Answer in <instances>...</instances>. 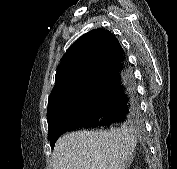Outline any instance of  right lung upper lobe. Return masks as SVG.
I'll use <instances>...</instances> for the list:
<instances>
[{"label":"right lung upper lobe","mask_w":177,"mask_h":169,"mask_svg":"<svg viewBox=\"0 0 177 169\" xmlns=\"http://www.w3.org/2000/svg\"><path fill=\"white\" fill-rule=\"evenodd\" d=\"M124 50L110 31L95 29L76 40L67 50L55 75L48 106L58 102L81 84L88 82Z\"/></svg>","instance_id":"right-lung-upper-lobe-1"}]
</instances>
